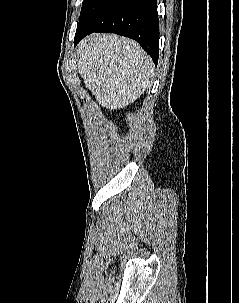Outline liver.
Instances as JSON below:
<instances>
[{
	"instance_id": "obj_1",
	"label": "liver",
	"mask_w": 239,
	"mask_h": 303,
	"mask_svg": "<svg viewBox=\"0 0 239 303\" xmlns=\"http://www.w3.org/2000/svg\"><path fill=\"white\" fill-rule=\"evenodd\" d=\"M76 56L85 87L110 111L134 103L150 86L153 62L131 39L93 34L79 43Z\"/></svg>"
}]
</instances>
